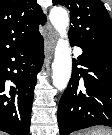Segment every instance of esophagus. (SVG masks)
<instances>
[{
	"label": "esophagus",
	"instance_id": "esophagus-1",
	"mask_svg": "<svg viewBox=\"0 0 112 135\" xmlns=\"http://www.w3.org/2000/svg\"><path fill=\"white\" fill-rule=\"evenodd\" d=\"M57 34L53 29H49V31L46 34V53L51 55L54 50V46L56 43Z\"/></svg>",
	"mask_w": 112,
	"mask_h": 135
}]
</instances>
